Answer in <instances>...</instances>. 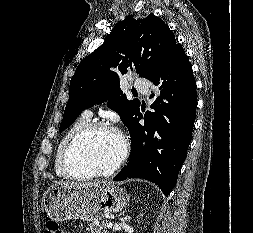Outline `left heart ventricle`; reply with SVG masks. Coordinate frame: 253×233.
<instances>
[{"label":"left heart ventricle","mask_w":253,"mask_h":233,"mask_svg":"<svg viewBox=\"0 0 253 233\" xmlns=\"http://www.w3.org/2000/svg\"><path fill=\"white\" fill-rule=\"evenodd\" d=\"M121 153L120 137L110 130H98L82 138L70 155V166L75 173L111 167Z\"/></svg>","instance_id":"1"}]
</instances>
